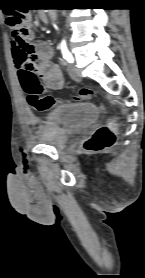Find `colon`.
<instances>
[{
  "label": "colon",
  "mask_w": 145,
  "mask_h": 278,
  "mask_svg": "<svg viewBox=\"0 0 145 278\" xmlns=\"http://www.w3.org/2000/svg\"><path fill=\"white\" fill-rule=\"evenodd\" d=\"M7 25L13 37L20 42V48L24 52H32L33 44L28 39L30 16L27 10L16 8L7 14ZM22 87L27 93L29 106L38 112L47 111L63 102L85 101L92 96V89L83 87L72 100H61L52 95L43 94L42 86L36 74H25L21 79ZM116 139V128L113 121L101 125L94 135L85 142V149L90 152H98L111 146Z\"/></svg>",
  "instance_id": "obj_1"
}]
</instances>
